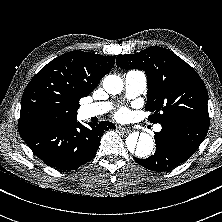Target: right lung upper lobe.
Listing matches in <instances>:
<instances>
[{
    "instance_id": "right-lung-upper-lobe-1",
    "label": "right lung upper lobe",
    "mask_w": 222,
    "mask_h": 222,
    "mask_svg": "<svg viewBox=\"0 0 222 222\" xmlns=\"http://www.w3.org/2000/svg\"><path fill=\"white\" fill-rule=\"evenodd\" d=\"M113 56L71 51L44 66L21 100L18 128L76 121L79 100L90 94L114 66Z\"/></svg>"
}]
</instances>
